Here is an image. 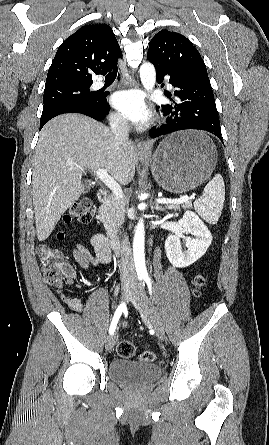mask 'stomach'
<instances>
[{
    "label": "stomach",
    "instance_id": "obj_1",
    "mask_svg": "<svg viewBox=\"0 0 269 445\" xmlns=\"http://www.w3.org/2000/svg\"><path fill=\"white\" fill-rule=\"evenodd\" d=\"M156 182L171 193L188 192L212 174L217 150L210 138L199 131H180L163 139L151 159Z\"/></svg>",
    "mask_w": 269,
    "mask_h": 445
}]
</instances>
